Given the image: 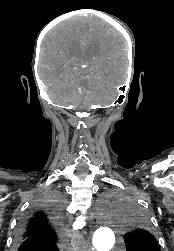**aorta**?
<instances>
[{"label":"aorta","mask_w":174,"mask_h":251,"mask_svg":"<svg viewBox=\"0 0 174 251\" xmlns=\"http://www.w3.org/2000/svg\"><path fill=\"white\" fill-rule=\"evenodd\" d=\"M116 221L112 217L108 208H104L103 213L97 220V229L93 235V245L97 251H109L115 243L114 227Z\"/></svg>","instance_id":"762f6f07"}]
</instances>
